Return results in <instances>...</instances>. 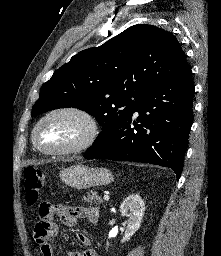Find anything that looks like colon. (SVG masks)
Wrapping results in <instances>:
<instances>
[{
    "mask_svg": "<svg viewBox=\"0 0 221 256\" xmlns=\"http://www.w3.org/2000/svg\"><path fill=\"white\" fill-rule=\"evenodd\" d=\"M25 175V192L28 204H35L46 185L45 174L35 167H27L24 170Z\"/></svg>",
    "mask_w": 221,
    "mask_h": 256,
    "instance_id": "colon-1",
    "label": "colon"
}]
</instances>
